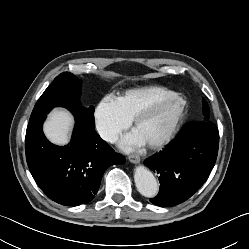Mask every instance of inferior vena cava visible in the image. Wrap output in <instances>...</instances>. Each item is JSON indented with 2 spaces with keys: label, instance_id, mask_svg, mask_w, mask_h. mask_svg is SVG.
I'll return each instance as SVG.
<instances>
[{
  "label": "inferior vena cava",
  "instance_id": "obj_1",
  "mask_svg": "<svg viewBox=\"0 0 249 249\" xmlns=\"http://www.w3.org/2000/svg\"><path fill=\"white\" fill-rule=\"evenodd\" d=\"M101 137L110 143H114L117 139V136L114 132L108 131V130H103L100 132Z\"/></svg>",
  "mask_w": 249,
  "mask_h": 249
}]
</instances>
